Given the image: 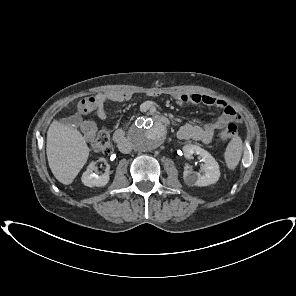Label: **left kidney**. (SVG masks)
I'll return each instance as SVG.
<instances>
[{
  "label": "left kidney",
  "mask_w": 296,
  "mask_h": 296,
  "mask_svg": "<svg viewBox=\"0 0 296 296\" xmlns=\"http://www.w3.org/2000/svg\"><path fill=\"white\" fill-rule=\"evenodd\" d=\"M183 152L187 159H192L193 155H198L204 162L203 174L190 170L188 165L185 166L183 179L186 185L208 186L219 180V164L209 152L193 144L185 145L183 147Z\"/></svg>",
  "instance_id": "left-kidney-1"
}]
</instances>
